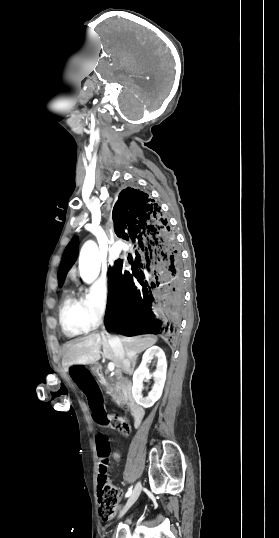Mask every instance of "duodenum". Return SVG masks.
Instances as JSON below:
<instances>
[{
    "instance_id": "duodenum-1",
    "label": "duodenum",
    "mask_w": 279,
    "mask_h": 538,
    "mask_svg": "<svg viewBox=\"0 0 279 538\" xmlns=\"http://www.w3.org/2000/svg\"><path fill=\"white\" fill-rule=\"evenodd\" d=\"M93 370L97 373L98 378L100 379V383L102 385H109L112 387V390L114 392H126V395H124V398L129 399V406L128 409L131 413L134 414V417L132 418L131 428L139 429L141 428V424L144 422V415L145 410L140 409L139 402L135 399V396L133 395L132 387L133 382L125 381H113L111 382V376L107 373V371L104 368H101L99 364L93 365Z\"/></svg>"
}]
</instances>
